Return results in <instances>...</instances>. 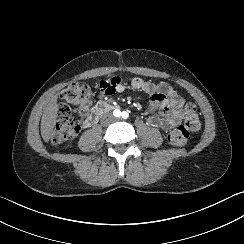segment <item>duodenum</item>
<instances>
[{"label": "duodenum", "instance_id": "1", "mask_svg": "<svg viewBox=\"0 0 244 244\" xmlns=\"http://www.w3.org/2000/svg\"><path fill=\"white\" fill-rule=\"evenodd\" d=\"M117 106L110 102L100 101L98 102L92 111L91 117L89 119V123L93 126L94 122L102 116L105 112L113 110Z\"/></svg>", "mask_w": 244, "mask_h": 244}]
</instances>
